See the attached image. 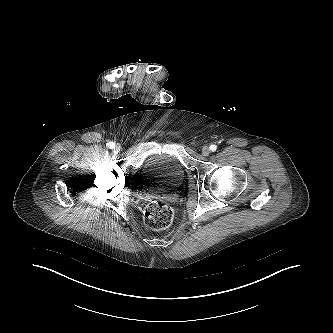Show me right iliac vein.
Masks as SVG:
<instances>
[{"label": "right iliac vein", "instance_id": "1", "mask_svg": "<svg viewBox=\"0 0 333 333\" xmlns=\"http://www.w3.org/2000/svg\"><path fill=\"white\" fill-rule=\"evenodd\" d=\"M121 150V146L119 144L115 145L114 151L119 152Z\"/></svg>", "mask_w": 333, "mask_h": 333}]
</instances>
